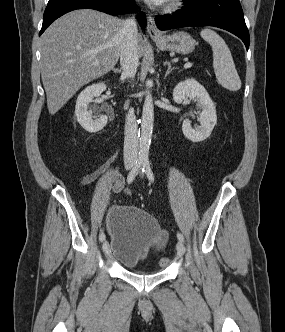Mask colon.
Returning <instances> with one entry per match:
<instances>
[{"instance_id":"1","label":"colon","mask_w":285,"mask_h":332,"mask_svg":"<svg viewBox=\"0 0 285 332\" xmlns=\"http://www.w3.org/2000/svg\"><path fill=\"white\" fill-rule=\"evenodd\" d=\"M168 262H169L168 258H162L159 263L160 265H166Z\"/></svg>"}]
</instances>
